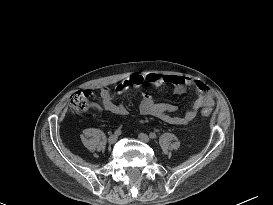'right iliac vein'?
I'll list each match as a JSON object with an SVG mask.
<instances>
[{
  "instance_id": "1",
  "label": "right iliac vein",
  "mask_w": 273,
  "mask_h": 205,
  "mask_svg": "<svg viewBox=\"0 0 273 205\" xmlns=\"http://www.w3.org/2000/svg\"><path fill=\"white\" fill-rule=\"evenodd\" d=\"M118 139V135L117 134H112L109 138H108V142L110 144H114Z\"/></svg>"
}]
</instances>
